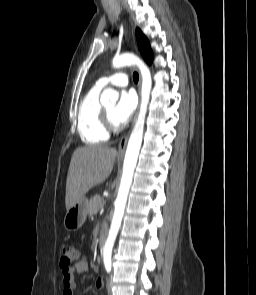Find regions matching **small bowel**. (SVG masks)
<instances>
[{
    "label": "small bowel",
    "instance_id": "small-bowel-1",
    "mask_svg": "<svg viewBox=\"0 0 256 295\" xmlns=\"http://www.w3.org/2000/svg\"><path fill=\"white\" fill-rule=\"evenodd\" d=\"M88 268L87 258L81 257L76 264L70 269L62 270V286H63V295H73L74 289L76 287V282L74 279V274H82L86 272ZM94 288L101 290L104 287V281L102 279H96L94 281Z\"/></svg>",
    "mask_w": 256,
    "mask_h": 295
}]
</instances>
